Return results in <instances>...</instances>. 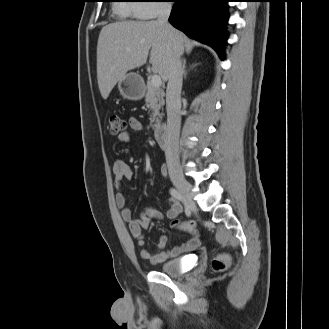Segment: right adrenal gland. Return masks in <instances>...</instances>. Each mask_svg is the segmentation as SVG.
Masks as SVG:
<instances>
[{
  "mask_svg": "<svg viewBox=\"0 0 329 329\" xmlns=\"http://www.w3.org/2000/svg\"><path fill=\"white\" fill-rule=\"evenodd\" d=\"M195 66H196V65H193L192 68L195 67ZM182 72H183L184 78H186V76H187L186 60L183 61Z\"/></svg>",
  "mask_w": 329,
  "mask_h": 329,
  "instance_id": "2a0ac1e0",
  "label": "right adrenal gland"
}]
</instances>
